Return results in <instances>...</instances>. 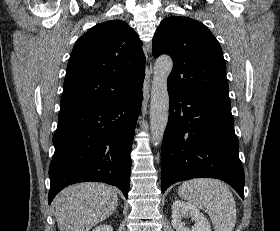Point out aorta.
I'll list each match as a JSON object with an SVG mask.
<instances>
[{
	"instance_id": "aorta-1",
	"label": "aorta",
	"mask_w": 280,
	"mask_h": 231,
	"mask_svg": "<svg viewBox=\"0 0 280 231\" xmlns=\"http://www.w3.org/2000/svg\"><path fill=\"white\" fill-rule=\"evenodd\" d=\"M173 68L170 56H159L154 64L151 90L150 129L154 145L161 143L168 123L169 96L168 76Z\"/></svg>"
}]
</instances>
